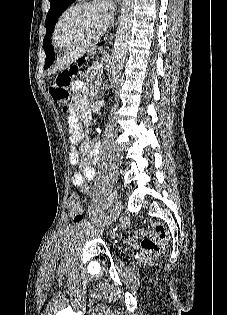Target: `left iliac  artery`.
<instances>
[{"label":"left iliac artery","instance_id":"44dca946","mask_svg":"<svg viewBox=\"0 0 227 315\" xmlns=\"http://www.w3.org/2000/svg\"><path fill=\"white\" fill-rule=\"evenodd\" d=\"M115 199H116V195L115 193L112 192L107 199V202L105 204V209H108Z\"/></svg>","mask_w":227,"mask_h":315}]
</instances>
